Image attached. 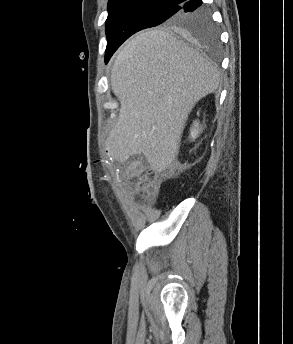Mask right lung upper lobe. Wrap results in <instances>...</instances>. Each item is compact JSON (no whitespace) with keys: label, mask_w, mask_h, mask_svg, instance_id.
Instances as JSON below:
<instances>
[{"label":"right lung upper lobe","mask_w":293,"mask_h":344,"mask_svg":"<svg viewBox=\"0 0 293 344\" xmlns=\"http://www.w3.org/2000/svg\"><path fill=\"white\" fill-rule=\"evenodd\" d=\"M145 1H158V2H166V3L181 5L186 0H109L108 4H117V3H126V2H145ZM164 25L172 28L171 26L168 25V23Z\"/></svg>","instance_id":"cb5924a9"}]
</instances>
